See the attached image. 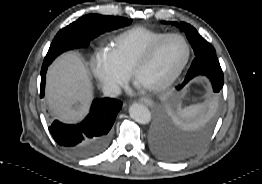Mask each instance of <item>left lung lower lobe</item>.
Here are the masks:
<instances>
[{"mask_svg":"<svg viewBox=\"0 0 262 184\" xmlns=\"http://www.w3.org/2000/svg\"><path fill=\"white\" fill-rule=\"evenodd\" d=\"M188 72L192 76L191 79L198 75H206L212 81L222 78L224 80L223 71L215 52L197 55ZM221 89L218 87L215 92H219ZM208 136V130L190 136L179 135L163 114L158 111L150 128L149 143L152 152L157 157L168 162H176L200 151L206 144Z\"/></svg>","mask_w":262,"mask_h":184,"instance_id":"obj_1","label":"left lung lower lobe"}]
</instances>
